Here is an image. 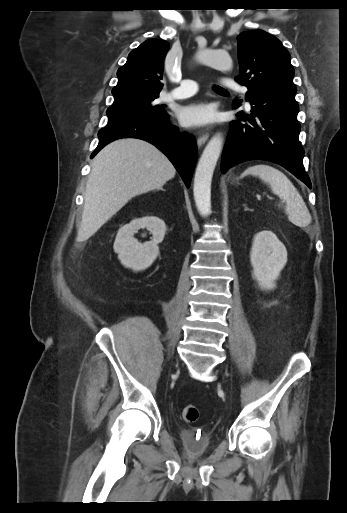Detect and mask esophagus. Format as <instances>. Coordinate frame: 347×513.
Returning a JSON list of instances; mask_svg holds the SVG:
<instances>
[{
  "label": "esophagus",
  "instance_id": "34e87169",
  "mask_svg": "<svg viewBox=\"0 0 347 513\" xmlns=\"http://www.w3.org/2000/svg\"><path fill=\"white\" fill-rule=\"evenodd\" d=\"M208 138H209V133L207 131L202 132L197 139L198 148H201L206 143Z\"/></svg>",
  "mask_w": 347,
  "mask_h": 513
}]
</instances>
